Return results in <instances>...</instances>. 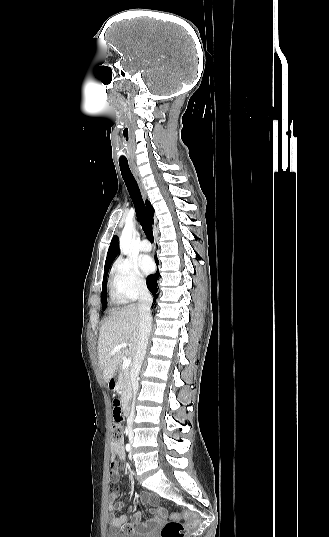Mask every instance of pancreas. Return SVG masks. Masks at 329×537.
<instances>
[{"mask_svg":"<svg viewBox=\"0 0 329 537\" xmlns=\"http://www.w3.org/2000/svg\"><path fill=\"white\" fill-rule=\"evenodd\" d=\"M117 389L120 391L122 399L128 403L131 398L132 385L129 371L122 369L118 376Z\"/></svg>","mask_w":329,"mask_h":537,"instance_id":"obj_1","label":"pancreas"}]
</instances>
